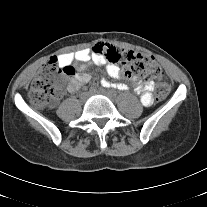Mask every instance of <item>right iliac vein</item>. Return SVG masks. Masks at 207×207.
I'll return each instance as SVG.
<instances>
[{
	"label": "right iliac vein",
	"instance_id": "obj_1",
	"mask_svg": "<svg viewBox=\"0 0 207 207\" xmlns=\"http://www.w3.org/2000/svg\"><path fill=\"white\" fill-rule=\"evenodd\" d=\"M93 90H95V89L92 88L90 91H93ZM86 98H87V94H85V93L82 94L81 97H80V99H81L82 102H84L86 100Z\"/></svg>",
	"mask_w": 207,
	"mask_h": 207
}]
</instances>
